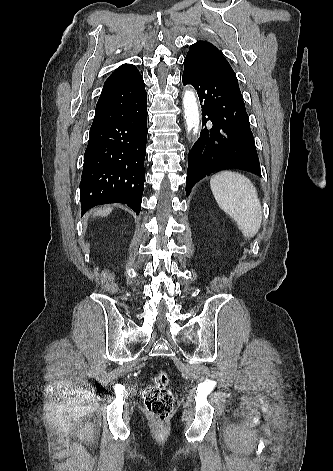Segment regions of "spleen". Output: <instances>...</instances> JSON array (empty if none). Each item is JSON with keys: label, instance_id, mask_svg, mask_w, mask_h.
Listing matches in <instances>:
<instances>
[{"label": "spleen", "instance_id": "1", "mask_svg": "<svg viewBox=\"0 0 333 471\" xmlns=\"http://www.w3.org/2000/svg\"><path fill=\"white\" fill-rule=\"evenodd\" d=\"M219 207L238 225L246 239L254 237L261 227L262 207L252 182L244 175L222 171L210 180Z\"/></svg>", "mask_w": 333, "mask_h": 471}]
</instances>
